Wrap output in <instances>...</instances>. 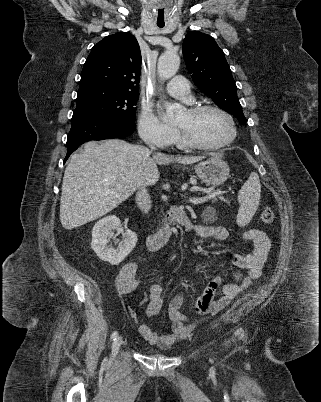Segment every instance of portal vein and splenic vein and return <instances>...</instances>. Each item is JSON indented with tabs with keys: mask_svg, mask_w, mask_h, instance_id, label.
Returning a JSON list of instances; mask_svg holds the SVG:
<instances>
[{
	"mask_svg": "<svg viewBox=\"0 0 321 402\" xmlns=\"http://www.w3.org/2000/svg\"><path fill=\"white\" fill-rule=\"evenodd\" d=\"M222 194H223V192H222L221 190H216V191H213V192L209 193L208 195H206V196H204V197H200V198H190L189 201H190L191 203H194V204H196V203H201V202H205V201L208 200V199H211V198L220 196V195H222Z\"/></svg>",
	"mask_w": 321,
	"mask_h": 402,
	"instance_id": "18ae733b",
	"label": "portal vein and splenic vein"
}]
</instances>
